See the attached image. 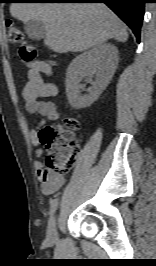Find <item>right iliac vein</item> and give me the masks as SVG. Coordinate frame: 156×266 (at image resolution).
Masks as SVG:
<instances>
[{
  "mask_svg": "<svg viewBox=\"0 0 156 266\" xmlns=\"http://www.w3.org/2000/svg\"><path fill=\"white\" fill-rule=\"evenodd\" d=\"M47 240L49 242H55L57 240L56 216L55 215H53L48 222Z\"/></svg>",
  "mask_w": 156,
  "mask_h": 266,
  "instance_id": "obj_1",
  "label": "right iliac vein"
}]
</instances>
